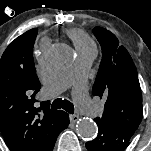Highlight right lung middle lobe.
Listing matches in <instances>:
<instances>
[{
  "mask_svg": "<svg viewBox=\"0 0 151 151\" xmlns=\"http://www.w3.org/2000/svg\"><path fill=\"white\" fill-rule=\"evenodd\" d=\"M20 61L16 59H2L0 60V67L5 69L9 74L17 76L21 73Z\"/></svg>",
  "mask_w": 151,
  "mask_h": 151,
  "instance_id": "1",
  "label": "right lung middle lobe"
}]
</instances>
